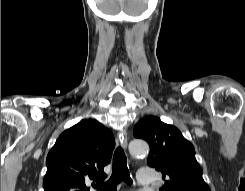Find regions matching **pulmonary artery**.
I'll return each instance as SVG.
<instances>
[{"mask_svg":"<svg viewBox=\"0 0 245 191\" xmlns=\"http://www.w3.org/2000/svg\"><path fill=\"white\" fill-rule=\"evenodd\" d=\"M138 182L142 186H150L155 182L154 171L152 168H141L137 174Z\"/></svg>","mask_w":245,"mask_h":191,"instance_id":"obj_1","label":"pulmonary artery"}]
</instances>
